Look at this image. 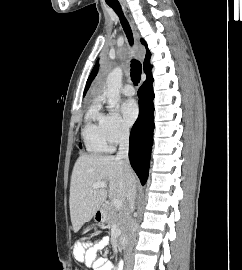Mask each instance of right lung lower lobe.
Here are the masks:
<instances>
[{
	"mask_svg": "<svg viewBox=\"0 0 242 270\" xmlns=\"http://www.w3.org/2000/svg\"><path fill=\"white\" fill-rule=\"evenodd\" d=\"M153 77L149 72L147 79L138 91L139 116L132 127L129 139L130 163L142 184L148 177L149 160L153 142Z\"/></svg>",
	"mask_w": 242,
	"mask_h": 270,
	"instance_id": "obj_1",
	"label": "right lung lower lobe"
}]
</instances>
